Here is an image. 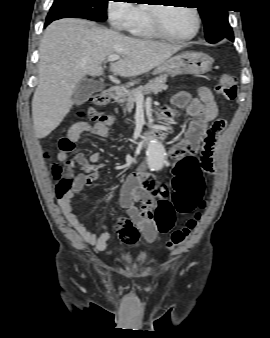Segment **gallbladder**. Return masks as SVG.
Segmentation results:
<instances>
[{"instance_id": "gallbladder-1", "label": "gallbladder", "mask_w": 270, "mask_h": 338, "mask_svg": "<svg viewBox=\"0 0 270 338\" xmlns=\"http://www.w3.org/2000/svg\"><path fill=\"white\" fill-rule=\"evenodd\" d=\"M103 84L99 81L82 79L75 88L72 98L78 105L86 102L92 94L103 90Z\"/></svg>"}]
</instances>
